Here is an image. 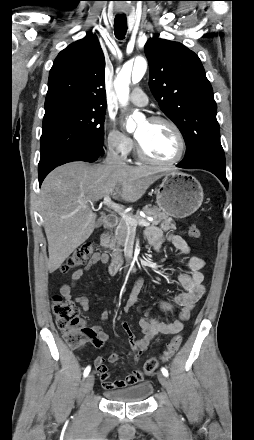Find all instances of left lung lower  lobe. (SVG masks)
I'll return each mask as SVG.
<instances>
[{
  "label": "left lung lower lobe",
  "instance_id": "1",
  "mask_svg": "<svg viewBox=\"0 0 254 440\" xmlns=\"http://www.w3.org/2000/svg\"><path fill=\"white\" fill-rule=\"evenodd\" d=\"M177 167L186 169L197 168L210 171L223 182L226 188H228V182L225 174V161L217 157L206 156L188 163L181 161L179 164H177Z\"/></svg>",
  "mask_w": 254,
  "mask_h": 440
}]
</instances>
